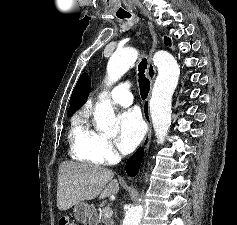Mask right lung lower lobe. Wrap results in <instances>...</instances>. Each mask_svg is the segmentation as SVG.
Masks as SVG:
<instances>
[{"mask_svg": "<svg viewBox=\"0 0 237 225\" xmlns=\"http://www.w3.org/2000/svg\"><path fill=\"white\" fill-rule=\"evenodd\" d=\"M143 153V148H139L136 153L127 161L126 172L129 176L133 177L138 173L143 158Z\"/></svg>", "mask_w": 237, "mask_h": 225, "instance_id": "right-lung-lower-lobe-1", "label": "right lung lower lobe"}]
</instances>
